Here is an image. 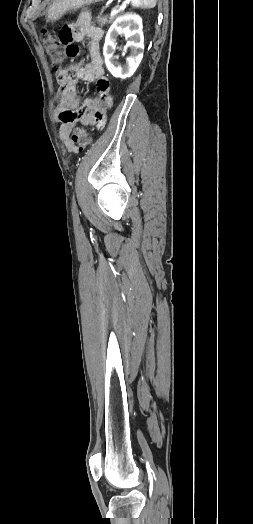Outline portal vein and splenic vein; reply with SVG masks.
<instances>
[{"label":"portal vein and splenic vein","mask_w":253,"mask_h":524,"mask_svg":"<svg viewBox=\"0 0 253 524\" xmlns=\"http://www.w3.org/2000/svg\"><path fill=\"white\" fill-rule=\"evenodd\" d=\"M130 0H125L124 2L121 3V5H118V6H115L112 10H111V14L110 16H115L117 15L121 10H123L126 6L127 3H129Z\"/></svg>","instance_id":"1"}]
</instances>
